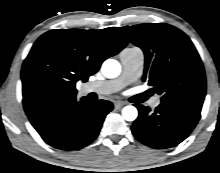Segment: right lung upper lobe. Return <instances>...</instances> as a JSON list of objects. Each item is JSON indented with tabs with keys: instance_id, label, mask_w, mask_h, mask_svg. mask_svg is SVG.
Segmentation results:
<instances>
[{
	"instance_id": "right-lung-upper-lobe-1",
	"label": "right lung upper lobe",
	"mask_w": 220,
	"mask_h": 173,
	"mask_svg": "<svg viewBox=\"0 0 220 173\" xmlns=\"http://www.w3.org/2000/svg\"><path fill=\"white\" fill-rule=\"evenodd\" d=\"M127 44L118 28L46 32L34 43L23 63V104L32 103L38 109L76 95V82L87 81L104 60Z\"/></svg>"
}]
</instances>
